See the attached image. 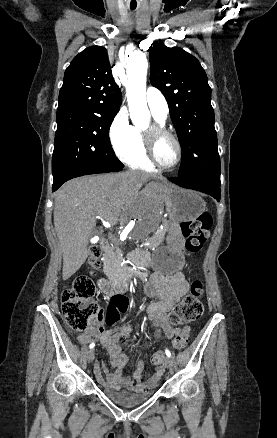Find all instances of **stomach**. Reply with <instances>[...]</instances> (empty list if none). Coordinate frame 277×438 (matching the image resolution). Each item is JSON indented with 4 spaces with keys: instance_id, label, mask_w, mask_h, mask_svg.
<instances>
[{
    "instance_id": "obj_1",
    "label": "stomach",
    "mask_w": 277,
    "mask_h": 438,
    "mask_svg": "<svg viewBox=\"0 0 277 438\" xmlns=\"http://www.w3.org/2000/svg\"><path fill=\"white\" fill-rule=\"evenodd\" d=\"M157 192L166 204L170 226L166 238L167 245L157 248L152 254V267L155 271L170 275L180 271L185 263V238L177 225L197 219L205 211L206 203L192 190L162 186Z\"/></svg>"
}]
</instances>
